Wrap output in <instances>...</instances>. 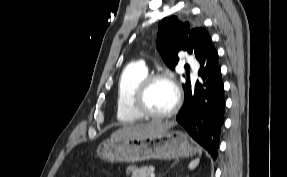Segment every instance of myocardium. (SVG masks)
<instances>
[{
  "label": "myocardium",
  "instance_id": "myocardium-1",
  "mask_svg": "<svg viewBox=\"0 0 287 177\" xmlns=\"http://www.w3.org/2000/svg\"><path fill=\"white\" fill-rule=\"evenodd\" d=\"M157 81H166L168 82L174 89L175 92V102L171 109L163 113H154L148 110L145 106V98L147 92L153 83ZM181 91L176 82L166 73H151L148 74L138 85L135 90V93L132 98V107L133 109L142 117L149 119H164L173 116L176 114L181 107Z\"/></svg>",
  "mask_w": 287,
  "mask_h": 177
}]
</instances>
